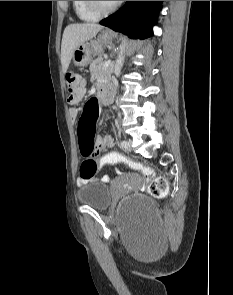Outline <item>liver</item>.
I'll list each match as a JSON object with an SVG mask.
<instances>
[{"instance_id": "6515ba94", "label": "liver", "mask_w": 233, "mask_h": 295, "mask_svg": "<svg viewBox=\"0 0 233 295\" xmlns=\"http://www.w3.org/2000/svg\"><path fill=\"white\" fill-rule=\"evenodd\" d=\"M103 28L95 23H75L68 25L62 37L61 64L63 73H66L74 50L82 43L92 39Z\"/></svg>"}]
</instances>
